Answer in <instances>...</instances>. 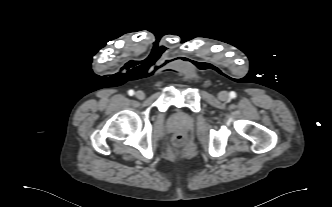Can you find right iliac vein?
Here are the masks:
<instances>
[{"label": "right iliac vein", "instance_id": "63e3f726", "mask_svg": "<svg viewBox=\"0 0 332 207\" xmlns=\"http://www.w3.org/2000/svg\"><path fill=\"white\" fill-rule=\"evenodd\" d=\"M136 98H138L139 100H142L145 98V93L143 91H137L135 94Z\"/></svg>", "mask_w": 332, "mask_h": 207}]
</instances>
